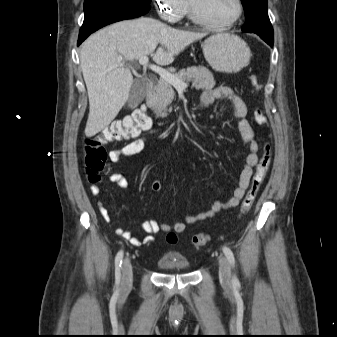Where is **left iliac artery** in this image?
<instances>
[{
    "mask_svg": "<svg viewBox=\"0 0 337 337\" xmlns=\"http://www.w3.org/2000/svg\"><path fill=\"white\" fill-rule=\"evenodd\" d=\"M223 252H224L227 260L229 261L230 265L234 268V266H235V258H234V254H233L232 250L229 247L224 246L223 247ZM232 282L234 284H239V280L236 277V275H233Z\"/></svg>",
    "mask_w": 337,
    "mask_h": 337,
    "instance_id": "1",
    "label": "left iliac artery"
}]
</instances>
